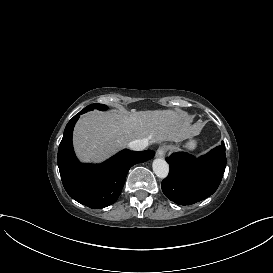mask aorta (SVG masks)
I'll list each match as a JSON object with an SVG mask.
<instances>
[{
  "label": "aorta",
  "instance_id": "obj_1",
  "mask_svg": "<svg viewBox=\"0 0 273 273\" xmlns=\"http://www.w3.org/2000/svg\"><path fill=\"white\" fill-rule=\"evenodd\" d=\"M153 172L156 174L159 178H166L169 173V165L168 163L161 158H157L153 161L152 164Z\"/></svg>",
  "mask_w": 273,
  "mask_h": 273
}]
</instances>
